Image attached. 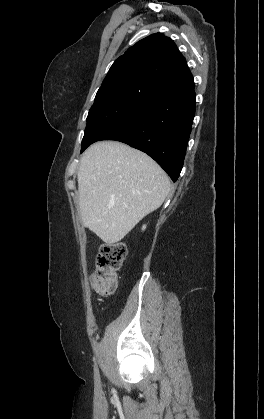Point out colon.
Here are the masks:
<instances>
[{
	"label": "colon",
	"mask_w": 264,
	"mask_h": 419,
	"mask_svg": "<svg viewBox=\"0 0 264 419\" xmlns=\"http://www.w3.org/2000/svg\"><path fill=\"white\" fill-rule=\"evenodd\" d=\"M127 249L122 243L103 244L98 251L96 269L91 285L100 295L112 294L116 288L117 272L126 258Z\"/></svg>",
	"instance_id": "5ec220e1"
}]
</instances>
